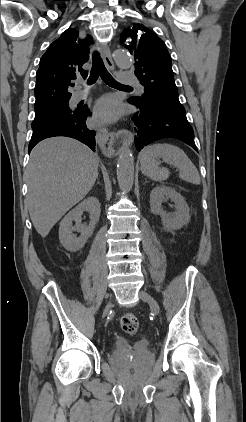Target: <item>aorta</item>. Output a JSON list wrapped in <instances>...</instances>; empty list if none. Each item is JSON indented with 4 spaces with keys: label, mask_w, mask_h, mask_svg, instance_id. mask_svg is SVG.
<instances>
[{
    "label": "aorta",
    "mask_w": 246,
    "mask_h": 422,
    "mask_svg": "<svg viewBox=\"0 0 246 422\" xmlns=\"http://www.w3.org/2000/svg\"><path fill=\"white\" fill-rule=\"evenodd\" d=\"M116 64L122 69L133 65V59L126 51L117 50L114 53ZM117 180L122 190L129 191L134 182V157L128 147H123L117 161Z\"/></svg>",
    "instance_id": "obj_1"
}]
</instances>
